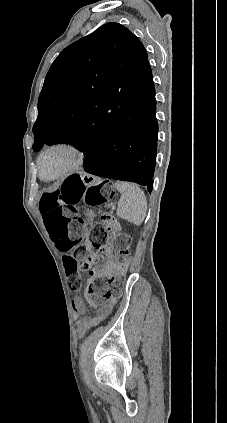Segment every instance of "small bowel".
<instances>
[{"label":"small bowel","instance_id":"c3829d8e","mask_svg":"<svg viewBox=\"0 0 227 423\" xmlns=\"http://www.w3.org/2000/svg\"><path fill=\"white\" fill-rule=\"evenodd\" d=\"M116 269H117V265L112 261H108L106 265L104 266V268L101 270L100 274L107 275L109 273H113L114 271H116ZM114 305H115V299H111L104 306L99 308L95 315L86 316L80 319L77 324L78 333L80 335H83L91 327L98 325L110 314ZM72 308L76 315H79L85 312V304L79 298H76L72 301Z\"/></svg>","mask_w":227,"mask_h":423}]
</instances>
